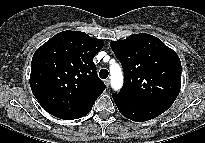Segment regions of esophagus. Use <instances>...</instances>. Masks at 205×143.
<instances>
[{
  "instance_id": "obj_1",
  "label": "esophagus",
  "mask_w": 205,
  "mask_h": 143,
  "mask_svg": "<svg viewBox=\"0 0 205 143\" xmlns=\"http://www.w3.org/2000/svg\"><path fill=\"white\" fill-rule=\"evenodd\" d=\"M104 83H105V85H106L107 87H109V85H110V80H109V79H106V80H104Z\"/></svg>"
}]
</instances>
